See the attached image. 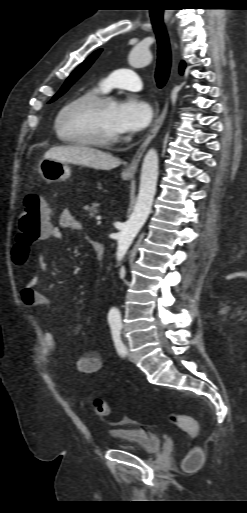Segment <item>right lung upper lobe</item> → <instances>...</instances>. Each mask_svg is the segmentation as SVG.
Instances as JSON below:
<instances>
[{
	"label": "right lung upper lobe",
	"instance_id": "1",
	"mask_svg": "<svg viewBox=\"0 0 247 513\" xmlns=\"http://www.w3.org/2000/svg\"><path fill=\"white\" fill-rule=\"evenodd\" d=\"M184 68H185V62L183 61V62H181V64H180V73H181V74L183 73Z\"/></svg>",
	"mask_w": 247,
	"mask_h": 513
}]
</instances>
